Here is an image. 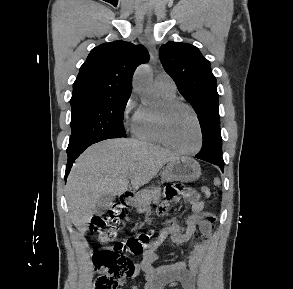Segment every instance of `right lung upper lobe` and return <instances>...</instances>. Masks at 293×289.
<instances>
[{"instance_id": "1", "label": "right lung upper lobe", "mask_w": 293, "mask_h": 289, "mask_svg": "<svg viewBox=\"0 0 293 289\" xmlns=\"http://www.w3.org/2000/svg\"><path fill=\"white\" fill-rule=\"evenodd\" d=\"M148 59L145 47L129 42L114 41L95 47L80 68L71 101L130 95L133 73Z\"/></svg>"}]
</instances>
